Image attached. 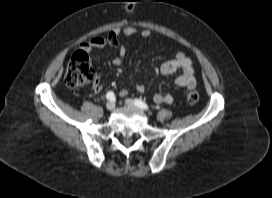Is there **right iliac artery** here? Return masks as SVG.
<instances>
[{"mask_svg":"<svg viewBox=\"0 0 272 198\" xmlns=\"http://www.w3.org/2000/svg\"><path fill=\"white\" fill-rule=\"evenodd\" d=\"M106 98L108 100H113L115 98V95L112 91H109L107 94H106Z\"/></svg>","mask_w":272,"mask_h":198,"instance_id":"82829eb1","label":"right iliac artery"}]
</instances>
